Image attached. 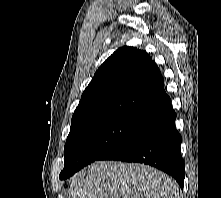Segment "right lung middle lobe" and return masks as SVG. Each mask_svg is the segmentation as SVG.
Instances as JSON below:
<instances>
[{"instance_id": "1", "label": "right lung middle lobe", "mask_w": 221, "mask_h": 198, "mask_svg": "<svg viewBox=\"0 0 221 198\" xmlns=\"http://www.w3.org/2000/svg\"><path fill=\"white\" fill-rule=\"evenodd\" d=\"M142 120L128 117L97 119L70 131L64 147V169L59 178L67 179L129 136Z\"/></svg>"}]
</instances>
